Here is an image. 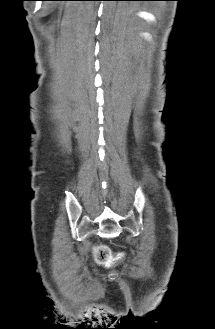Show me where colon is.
Here are the masks:
<instances>
[{"instance_id": "1", "label": "colon", "mask_w": 215, "mask_h": 329, "mask_svg": "<svg viewBox=\"0 0 215 329\" xmlns=\"http://www.w3.org/2000/svg\"><path fill=\"white\" fill-rule=\"evenodd\" d=\"M94 259L98 264H107L111 261L112 255L110 249L105 245H98L94 248ZM119 258L124 257V253L118 255Z\"/></svg>"}]
</instances>
